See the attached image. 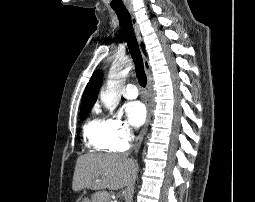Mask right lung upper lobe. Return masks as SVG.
<instances>
[{
  "mask_svg": "<svg viewBox=\"0 0 255 202\" xmlns=\"http://www.w3.org/2000/svg\"><path fill=\"white\" fill-rule=\"evenodd\" d=\"M142 47L144 51V46L142 45ZM102 78V71H96L93 73L83 93L81 107H93L97 100L99 88L102 84Z\"/></svg>",
  "mask_w": 255,
  "mask_h": 202,
  "instance_id": "1",
  "label": "right lung upper lobe"
}]
</instances>
